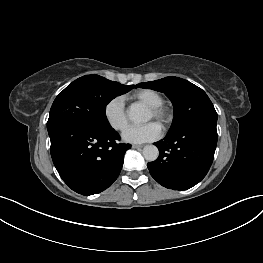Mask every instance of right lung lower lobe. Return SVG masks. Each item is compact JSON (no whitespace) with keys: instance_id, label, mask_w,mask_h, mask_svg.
I'll return each instance as SVG.
<instances>
[{"instance_id":"1","label":"right lung lower lobe","mask_w":263,"mask_h":263,"mask_svg":"<svg viewBox=\"0 0 263 263\" xmlns=\"http://www.w3.org/2000/svg\"><path fill=\"white\" fill-rule=\"evenodd\" d=\"M48 132L60 177L72 190L86 196L104 191L117 179L124 154L131 148L117 142L120 136L111 127L64 123Z\"/></svg>"}]
</instances>
